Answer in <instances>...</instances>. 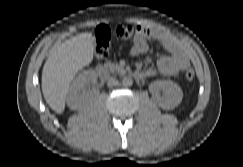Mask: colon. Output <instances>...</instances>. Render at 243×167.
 Returning <instances> with one entry per match:
<instances>
[{"instance_id": "obj_1", "label": "colon", "mask_w": 243, "mask_h": 167, "mask_svg": "<svg viewBox=\"0 0 243 167\" xmlns=\"http://www.w3.org/2000/svg\"><path fill=\"white\" fill-rule=\"evenodd\" d=\"M139 27L135 25H119L115 28V35L121 41L132 39L138 32ZM111 29L107 25H100L95 32V55L98 59L107 57L110 49ZM195 76L194 70L188 68L185 72L187 80H192Z\"/></svg>"}]
</instances>
